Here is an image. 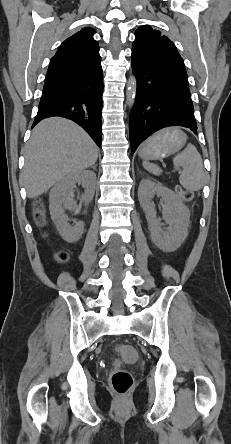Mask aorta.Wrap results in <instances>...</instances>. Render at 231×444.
I'll list each match as a JSON object with an SVG mask.
<instances>
[{
	"label": "aorta",
	"instance_id": "1",
	"mask_svg": "<svg viewBox=\"0 0 231 444\" xmlns=\"http://www.w3.org/2000/svg\"><path fill=\"white\" fill-rule=\"evenodd\" d=\"M137 92V81L134 76H131L128 80L126 97L129 103H133L135 95Z\"/></svg>",
	"mask_w": 231,
	"mask_h": 444
}]
</instances>
